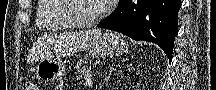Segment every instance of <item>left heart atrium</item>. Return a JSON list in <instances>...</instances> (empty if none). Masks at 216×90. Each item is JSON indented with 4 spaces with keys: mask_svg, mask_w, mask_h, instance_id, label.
<instances>
[{
    "mask_svg": "<svg viewBox=\"0 0 216 90\" xmlns=\"http://www.w3.org/2000/svg\"><path fill=\"white\" fill-rule=\"evenodd\" d=\"M119 0H97V3H118Z\"/></svg>",
    "mask_w": 216,
    "mask_h": 90,
    "instance_id": "left-heart-atrium-1",
    "label": "left heart atrium"
}]
</instances>
